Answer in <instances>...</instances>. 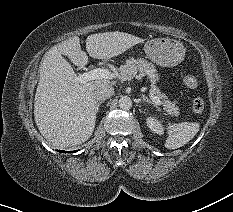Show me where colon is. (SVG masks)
Listing matches in <instances>:
<instances>
[{"label": "colon", "mask_w": 233, "mask_h": 212, "mask_svg": "<svg viewBox=\"0 0 233 212\" xmlns=\"http://www.w3.org/2000/svg\"><path fill=\"white\" fill-rule=\"evenodd\" d=\"M183 82L189 89L195 90L199 87L198 80L190 74H186L183 76ZM193 111L197 114H200L204 111L205 104L201 97H195L192 101Z\"/></svg>", "instance_id": "colon-1"}]
</instances>
